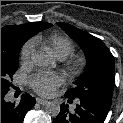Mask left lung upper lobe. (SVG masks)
Segmentation results:
<instances>
[{
  "label": "left lung upper lobe",
  "instance_id": "5c2ea615",
  "mask_svg": "<svg viewBox=\"0 0 123 123\" xmlns=\"http://www.w3.org/2000/svg\"><path fill=\"white\" fill-rule=\"evenodd\" d=\"M58 25L83 49L87 66L75 87L65 93L71 99L87 98L111 105L115 85L114 57L103 41L70 24Z\"/></svg>",
  "mask_w": 123,
  "mask_h": 123
}]
</instances>
